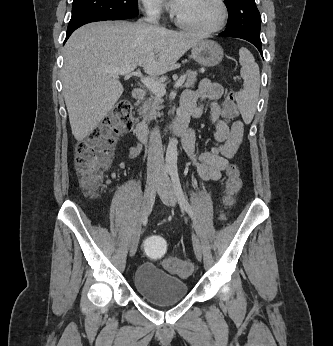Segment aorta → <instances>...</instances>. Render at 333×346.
<instances>
[{
    "label": "aorta",
    "instance_id": "762f6f07",
    "mask_svg": "<svg viewBox=\"0 0 333 346\" xmlns=\"http://www.w3.org/2000/svg\"><path fill=\"white\" fill-rule=\"evenodd\" d=\"M177 139L172 138L169 140L167 151H166V159H165V166L168 169L176 168L177 167Z\"/></svg>",
    "mask_w": 333,
    "mask_h": 346
}]
</instances>
